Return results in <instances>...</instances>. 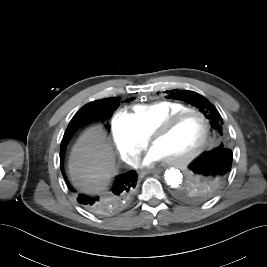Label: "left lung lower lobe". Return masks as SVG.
I'll return each instance as SVG.
<instances>
[{"instance_id":"1","label":"left lung lower lobe","mask_w":267,"mask_h":267,"mask_svg":"<svg viewBox=\"0 0 267 267\" xmlns=\"http://www.w3.org/2000/svg\"><path fill=\"white\" fill-rule=\"evenodd\" d=\"M226 141H219L215 148L199 156L190 165V185L183 189L187 201L205 199L220 192L235 173V160Z\"/></svg>"}]
</instances>
